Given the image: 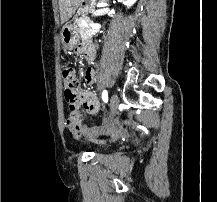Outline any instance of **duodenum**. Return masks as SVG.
I'll list each match as a JSON object with an SVG mask.
<instances>
[{
  "mask_svg": "<svg viewBox=\"0 0 217 202\" xmlns=\"http://www.w3.org/2000/svg\"><path fill=\"white\" fill-rule=\"evenodd\" d=\"M86 56H87L88 59H91V58H92L89 51H86Z\"/></svg>",
  "mask_w": 217,
  "mask_h": 202,
  "instance_id": "1",
  "label": "duodenum"
}]
</instances>
